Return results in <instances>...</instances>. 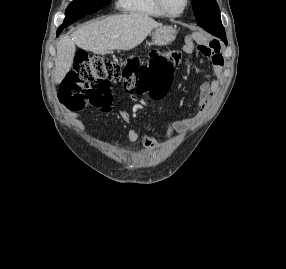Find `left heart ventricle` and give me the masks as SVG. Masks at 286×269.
I'll return each mask as SVG.
<instances>
[{
  "label": "left heart ventricle",
  "mask_w": 286,
  "mask_h": 269,
  "mask_svg": "<svg viewBox=\"0 0 286 269\" xmlns=\"http://www.w3.org/2000/svg\"><path fill=\"white\" fill-rule=\"evenodd\" d=\"M166 7L173 13H179L184 6V0H165Z\"/></svg>",
  "instance_id": "b2bd125f"
}]
</instances>
